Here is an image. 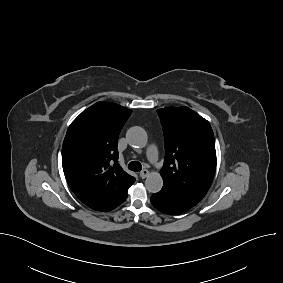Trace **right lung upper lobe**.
<instances>
[{
	"label": "right lung upper lobe",
	"instance_id": "cb5924a9",
	"mask_svg": "<svg viewBox=\"0 0 283 283\" xmlns=\"http://www.w3.org/2000/svg\"><path fill=\"white\" fill-rule=\"evenodd\" d=\"M132 111L97 102L69 126L62 147V166L69 187L87 206L108 211L127 195L135 178L118 163V136Z\"/></svg>",
	"mask_w": 283,
	"mask_h": 283
}]
</instances>
